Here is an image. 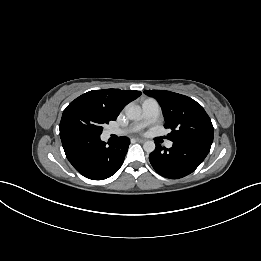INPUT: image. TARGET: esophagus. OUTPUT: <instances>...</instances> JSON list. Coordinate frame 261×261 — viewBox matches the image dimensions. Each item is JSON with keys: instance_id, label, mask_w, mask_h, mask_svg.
Here are the masks:
<instances>
[{"instance_id": "34e87169", "label": "esophagus", "mask_w": 261, "mask_h": 261, "mask_svg": "<svg viewBox=\"0 0 261 261\" xmlns=\"http://www.w3.org/2000/svg\"><path fill=\"white\" fill-rule=\"evenodd\" d=\"M135 141L138 142V143H144L145 142L144 139H140V138H136Z\"/></svg>"}]
</instances>
